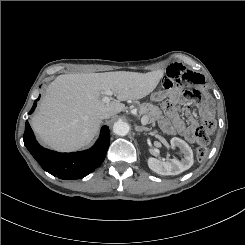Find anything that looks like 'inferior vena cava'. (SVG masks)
Masks as SVG:
<instances>
[{
  "label": "inferior vena cava",
  "instance_id": "1",
  "mask_svg": "<svg viewBox=\"0 0 245 245\" xmlns=\"http://www.w3.org/2000/svg\"><path fill=\"white\" fill-rule=\"evenodd\" d=\"M110 116H111L110 114L106 113V114L101 115V119H107Z\"/></svg>",
  "mask_w": 245,
  "mask_h": 245
}]
</instances>
